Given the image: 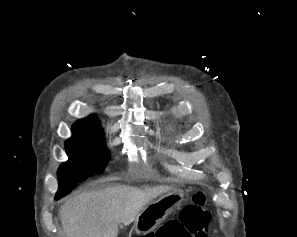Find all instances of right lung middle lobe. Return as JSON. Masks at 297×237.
<instances>
[{
  "mask_svg": "<svg viewBox=\"0 0 297 237\" xmlns=\"http://www.w3.org/2000/svg\"><path fill=\"white\" fill-rule=\"evenodd\" d=\"M72 133V138L65 142L69 160L58 169L59 190L56 199L68 194L78 182L102 173L109 160L103 130L96 133Z\"/></svg>",
  "mask_w": 297,
  "mask_h": 237,
  "instance_id": "dd1d6c3e",
  "label": "right lung middle lobe"
}]
</instances>
